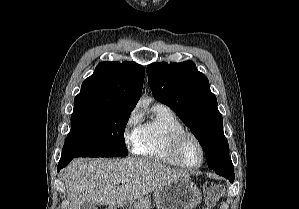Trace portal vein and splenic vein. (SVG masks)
<instances>
[{"mask_svg":"<svg viewBox=\"0 0 299 209\" xmlns=\"http://www.w3.org/2000/svg\"><path fill=\"white\" fill-rule=\"evenodd\" d=\"M122 181L121 180H116L115 183L119 184L121 183Z\"/></svg>","mask_w":299,"mask_h":209,"instance_id":"18ae733b","label":"portal vein and splenic vein"}]
</instances>
